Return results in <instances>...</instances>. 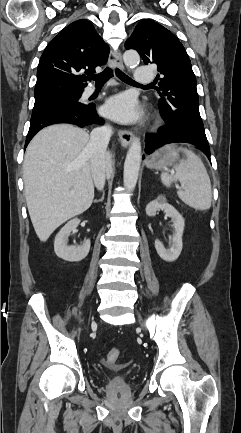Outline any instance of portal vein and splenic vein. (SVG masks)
Masks as SVG:
<instances>
[{
  "label": "portal vein and splenic vein",
  "mask_w": 241,
  "mask_h": 433,
  "mask_svg": "<svg viewBox=\"0 0 241 433\" xmlns=\"http://www.w3.org/2000/svg\"><path fill=\"white\" fill-rule=\"evenodd\" d=\"M176 188H177V189H181V188H183V187H180L179 185H176Z\"/></svg>",
  "instance_id": "1"
}]
</instances>
